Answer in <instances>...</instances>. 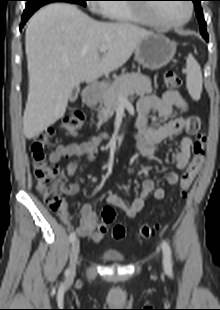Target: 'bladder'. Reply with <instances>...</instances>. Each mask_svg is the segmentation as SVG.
Masks as SVG:
<instances>
[{
    "label": "bladder",
    "instance_id": "1",
    "mask_svg": "<svg viewBox=\"0 0 220 310\" xmlns=\"http://www.w3.org/2000/svg\"><path fill=\"white\" fill-rule=\"evenodd\" d=\"M100 257L104 262L108 263L121 262L124 259L123 254L113 248H105L101 250Z\"/></svg>",
    "mask_w": 220,
    "mask_h": 310
}]
</instances>
